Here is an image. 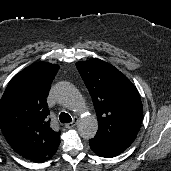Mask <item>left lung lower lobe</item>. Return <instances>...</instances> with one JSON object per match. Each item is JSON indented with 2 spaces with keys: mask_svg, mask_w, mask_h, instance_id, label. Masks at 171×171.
Segmentation results:
<instances>
[{
  "mask_svg": "<svg viewBox=\"0 0 171 171\" xmlns=\"http://www.w3.org/2000/svg\"><path fill=\"white\" fill-rule=\"evenodd\" d=\"M91 149L101 157L112 158L121 154L124 150L104 140L94 137L89 140Z\"/></svg>",
  "mask_w": 171,
  "mask_h": 171,
  "instance_id": "obj_1",
  "label": "left lung lower lobe"
}]
</instances>
